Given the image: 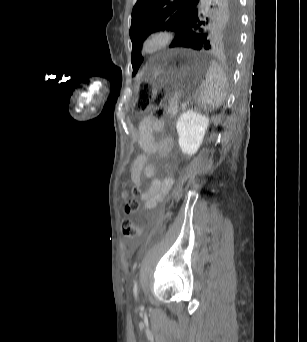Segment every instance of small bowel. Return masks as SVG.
<instances>
[{
	"mask_svg": "<svg viewBox=\"0 0 307 342\" xmlns=\"http://www.w3.org/2000/svg\"><path fill=\"white\" fill-rule=\"evenodd\" d=\"M163 133V121L152 116L144 117L138 127L137 140L143 153L133 161L130 168V176L132 183L136 186L141 185L142 176L152 178L150 187L141 195V200L146 210L154 209L172 184L170 177H166L163 181L155 178L156 167L153 163L149 162L150 156L164 157L173 146V140L170 135H164L162 138L156 139L155 136L157 134Z\"/></svg>",
	"mask_w": 307,
	"mask_h": 342,
	"instance_id": "obj_1",
	"label": "small bowel"
}]
</instances>
